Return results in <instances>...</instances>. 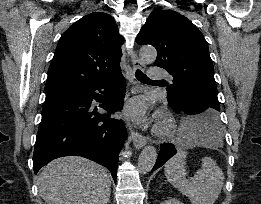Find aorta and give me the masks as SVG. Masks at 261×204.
Returning <instances> with one entry per match:
<instances>
[{
  "mask_svg": "<svg viewBox=\"0 0 261 204\" xmlns=\"http://www.w3.org/2000/svg\"><path fill=\"white\" fill-rule=\"evenodd\" d=\"M139 57L143 64H151L156 60L157 51L153 46H144L140 49ZM156 159V148L154 146L145 147L138 158V170L143 174L148 173L153 168Z\"/></svg>",
  "mask_w": 261,
  "mask_h": 204,
  "instance_id": "1",
  "label": "aorta"
}]
</instances>
